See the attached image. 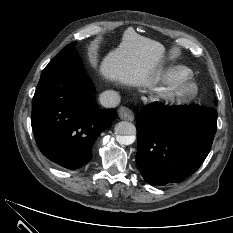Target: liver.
Listing matches in <instances>:
<instances>
[{
  "label": "liver",
  "mask_w": 233,
  "mask_h": 233,
  "mask_svg": "<svg viewBox=\"0 0 233 233\" xmlns=\"http://www.w3.org/2000/svg\"><path fill=\"white\" fill-rule=\"evenodd\" d=\"M164 50L159 42L128 30L119 47L102 61L100 73L104 78L122 85L147 87L153 81Z\"/></svg>",
  "instance_id": "obj_1"
}]
</instances>
